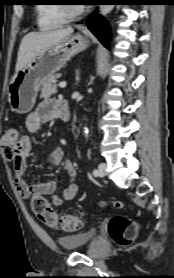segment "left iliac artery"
<instances>
[{"label":"left iliac artery","instance_id":"obj_1","mask_svg":"<svg viewBox=\"0 0 174 278\" xmlns=\"http://www.w3.org/2000/svg\"><path fill=\"white\" fill-rule=\"evenodd\" d=\"M98 174H99V173H98V170L95 169V170L93 171V175H94V176H98Z\"/></svg>","mask_w":174,"mask_h":278}]
</instances>
